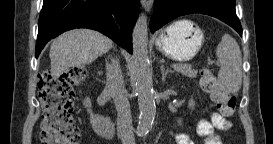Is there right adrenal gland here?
I'll return each instance as SVG.
<instances>
[{
    "mask_svg": "<svg viewBox=\"0 0 273 144\" xmlns=\"http://www.w3.org/2000/svg\"><path fill=\"white\" fill-rule=\"evenodd\" d=\"M111 58H112V56H111ZM103 72H99V74H102Z\"/></svg>",
    "mask_w": 273,
    "mask_h": 144,
    "instance_id": "2a0ac1e0",
    "label": "right adrenal gland"
}]
</instances>
